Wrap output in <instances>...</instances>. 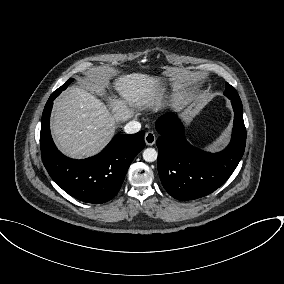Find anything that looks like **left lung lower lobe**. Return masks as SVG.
<instances>
[{
    "label": "left lung lower lobe",
    "instance_id": "obj_1",
    "mask_svg": "<svg viewBox=\"0 0 284 284\" xmlns=\"http://www.w3.org/2000/svg\"><path fill=\"white\" fill-rule=\"evenodd\" d=\"M231 100L234 127L230 144L221 152L208 153L190 145L179 119L169 113L159 117L158 172L165 190L174 198L188 201L209 195L231 176L246 145L242 102Z\"/></svg>",
    "mask_w": 284,
    "mask_h": 284
}]
</instances>
